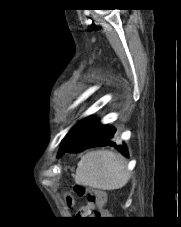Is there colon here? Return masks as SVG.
<instances>
[{
	"label": "colon",
	"instance_id": "colon-1",
	"mask_svg": "<svg viewBox=\"0 0 181 227\" xmlns=\"http://www.w3.org/2000/svg\"><path fill=\"white\" fill-rule=\"evenodd\" d=\"M72 193L76 197H84L87 196L88 204H96L97 205V211L95 212V216H107L108 212L105 208L106 205V193L93 189V188H87L83 185L76 184L73 186ZM66 202L68 206L73 205V196L67 195L66 196Z\"/></svg>",
	"mask_w": 181,
	"mask_h": 227
}]
</instances>
